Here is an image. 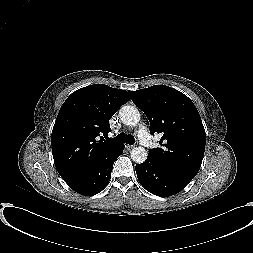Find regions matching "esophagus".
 I'll use <instances>...</instances> for the list:
<instances>
[{
  "mask_svg": "<svg viewBox=\"0 0 253 253\" xmlns=\"http://www.w3.org/2000/svg\"><path fill=\"white\" fill-rule=\"evenodd\" d=\"M126 147H127L128 149H132V148L135 147V145H133V144H128V145H126Z\"/></svg>",
  "mask_w": 253,
  "mask_h": 253,
  "instance_id": "obj_1",
  "label": "esophagus"
}]
</instances>
